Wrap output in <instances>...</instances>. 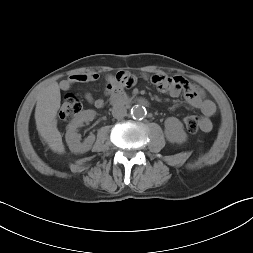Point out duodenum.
<instances>
[{
    "instance_id": "1",
    "label": "duodenum",
    "mask_w": 253,
    "mask_h": 253,
    "mask_svg": "<svg viewBox=\"0 0 253 253\" xmlns=\"http://www.w3.org/2000/svg\"><path fill=\"white\" fill-rule=\"evenodd\" d=\"M110 100L114 104H129L132 100L121 89L114 88L109 92ZM138 102L146 104L144 99H138Z\"/></svg>"
}]
</instances>
